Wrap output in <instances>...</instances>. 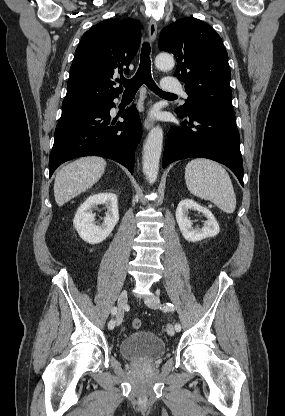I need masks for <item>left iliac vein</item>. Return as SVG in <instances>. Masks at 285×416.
<instances>
[{
    "instance_id": "4c4485c4",
    "label": "left iliac vein",
    "mask_w": 285,
    "mask_h": 416,
    "mask_svg": "<svg viewBox=\"0 0 285 416\" xmlns=\"http://www.w3.org/2000/svg\"><path fill=\"white\" fill-rule=\"evenodd\" d=\"M145 303L151 309H158L160 307V299L156 295L149 296L145 299ZM176 329H174L172 324L167 325V333L169 336H174Z\"/></svg>"
}]
</instances>
